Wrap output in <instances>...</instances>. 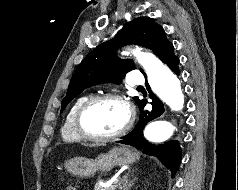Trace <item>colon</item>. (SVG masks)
<instances>
[{
	"label": "colon",
	"mask_w": 238,
	"mask_h": 190,
	"mask_svg": "<svg viewBox=\"0 0 238 190\" xmlns=\"http://www.w3.org/2000/svg\"><path fill=\"white\" fill-rule=\"evenodd\" d=\"M66 190H76V189L72 186H69V187L66 188Z\"/></svg>",
	"instance_id": "colon-1"
}]
</instances>
